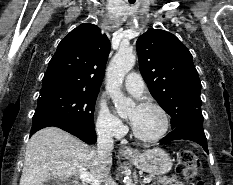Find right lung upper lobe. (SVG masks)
Returning <instances> with one entry per match:
<instances>
[{
	"instance_id": "obj_1",
	"label": "right lung upper lobe",
	"mask_w": 233,
	"mask_h": 185,
	"mask_svg": "<svg viewBox=\"0 0 233 185\" xmlns=\"http://www.w3.org/2000/svg\"><path fill=\"white\" fill-rule=\"evenodd\" d=\"M109 52L107 36L96 25L81 24L59 43L43 77L41 91L99 92Z\"/></svg>"
}]
</instances>
